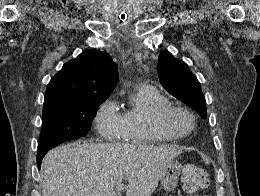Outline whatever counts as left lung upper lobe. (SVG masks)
I'll use <instances>...</instances> for the list:
<instances>
[{
	"label": "left lung upper lobe",
	"instance_id": "5c2ea615",
	"mask_svg": "<svg viewBox=\"0 0 260 196\" xmlns=\"http://www.w3.org/2000/svg\"><path fill=\"white\" fill-rule=\"evenodd\" d=\"M158 74L160 83L171 95L206 118V101L200 83L185 62L163 51L159 55Z\"/></svg>",
	"mask_w": 260,
	"mask_h": 196
}]
</instances>
